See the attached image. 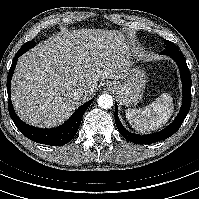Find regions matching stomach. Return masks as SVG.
<instances>
[{
  "label": "stomach",
  "mask_w": 199,
  "mask_h": 199,
  "mask_svg": "<svg viewBox=\"0 0 199 199\" xmlns=\"http://www.w3.org/2000/svg\"><path fill=\"white\" fill-rule=\"evenodd\" d=\"M146 82L145 72L139 67H134L128 70L127 78L123 82L110 81L107 85L113 84L120 101L126 106H131L141 100Z\"/></svg>",
  "instance_id": "1"
}]
</instances>
